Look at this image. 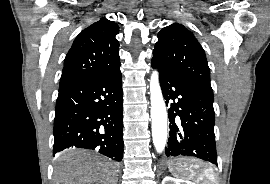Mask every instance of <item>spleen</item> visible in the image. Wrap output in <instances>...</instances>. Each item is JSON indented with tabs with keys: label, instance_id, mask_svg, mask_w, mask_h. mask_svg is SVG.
Here are the masks:
<instances>
[{
	"label": "spleen",
	"instance_id": "1",
	"mask_svg": "<svg viewBox=\"0 0 270 184\" xmlns=\"http://www.w3.org/2000/svg\"><path fill=\"white\" fill-rule=\"evenodd\" d=\"M174 176L184 181L195 180L200 184H217L214 170L211 167L200 166L195 163H186V170L182 176Z\"/></svg>",
	"mask_w": 270,
	"mask_h": 184
}]
</instances>
